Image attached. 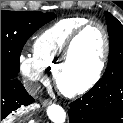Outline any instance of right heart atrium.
I'll use <instances>...</instances> for the list:
<instances>
[{
	"label": "right heart atrium",
	"mask_w": 123,
	"mask_h": 123,
	"mask_svg": "<svg viewBox=\"0 0 123 123\" xmlns=\"http://www.w3.org/2000/svg\"><path fill=\"white\" fill-rule=\"evenodd\" d=\"M20 72L32 82H45L47 75L45 69L31 54H21L18 58Z\"/></svg>",
	"instance_id": "1"
}]
</instances>
